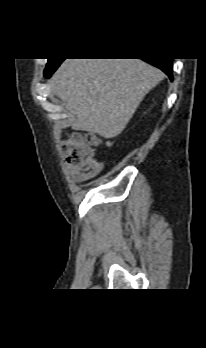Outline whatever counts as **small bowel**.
Instances as JSON below:
<instances>
[{
  "label": "small bowel",
  "instance_id": "1",
  "mask_svg": "<svg viewBox=\"0 0 206 348\" xmlns=\"http://www.w3.org/2000/svg\"><path fill=\"white\" fill-rule=\"evenodd\" d=\"M66 169L73 181L77 183H84L99 176L104 169V164L101 161L94 160L82 167L77 168L67 165Z\"/></svg>",
  "mask_w": 206,
  "mask_h": 348
}]
</instances>
